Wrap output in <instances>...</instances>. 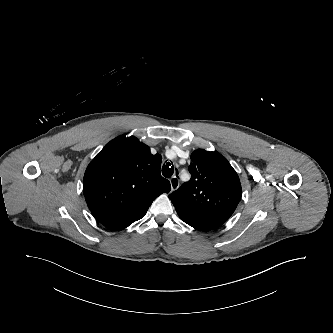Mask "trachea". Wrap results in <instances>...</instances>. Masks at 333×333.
I'll use <instances>...</instances> for the list:
<instances>
[{
	"instance_id": "1",
	"label": "trachea",
	"mask_w": 333,
	"mask_h": 333,
	"mask_svg": "<svg viewBox=\"0 0 333 333\" xmlns=\"http://www.w3.org/2000/svg\"><path fill=\"white\" fill-rule=\"evenodd\" d=\"M174 172V166H171L170 162H167L166 164H163L162 167V174L166 178H170L173 175Z\"/></svg>"
}]
</instances>
